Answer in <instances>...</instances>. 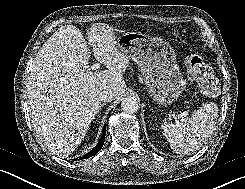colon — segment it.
<instances>
[{
	"mask_svg": "<svg viewBox=\"0 0 245 189\" xmlns=\"http://www.w3.org/2000/svg\"><path fill=\"white\" fill-rule=\"evenodd\" d=\"M187 73L191 80L209 95L216 94L220 89V83L217 79L212 66L199 56H189L186 59Z\"/></svg>",
	"mask_w": 245,
	"mask_h": 189,
	"instance_id": "colon-1",
	"label": "colon"
}]
</instances>
